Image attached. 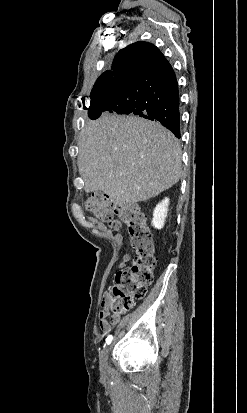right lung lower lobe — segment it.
<instances>
[{"label": "right lung lower lobe", "instance_id": "98d812e1", "mask_svg": "<svg viewBox=\"0 0 247 413\" xmlns=\"http://www.w3.org/2000/svg\"><path fill=\"white\" fill-rule=\"evenodd\" d=\"M125 82L134 94L100 101L88 109L89 118L95 120L105 112L135 114L160 122L180 138L179 90L171 65L156 72H135Z\"/></svg>", "mask_w": 247, "mask_h": 413}]
</instances>
